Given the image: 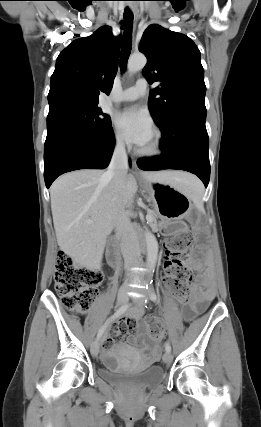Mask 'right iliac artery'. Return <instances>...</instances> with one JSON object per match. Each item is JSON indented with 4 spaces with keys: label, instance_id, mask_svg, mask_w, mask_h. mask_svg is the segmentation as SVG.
Wrapping results in <instances>:
<instances>
[{
    "label": "right iliac artery",
    "instance_id": "1",
    "mask_svg": "<svg viewBox=\"0 0 261 427\" xmlns=\"http://www.w3.org/2000/svg\"><path fill=\"white\" fill-rule=\"evenodd\" d=\"M128 308V304L122 305L108 320L107 322L99 329L98 334H97V339H99L102 334L104 333V330L106 329L107 325L113 321L114 319H116L117 317H119L121 314H123Z\"/></svg>",
    "mask_w": 261,
    "mask_h": 427
}]
</instances>
